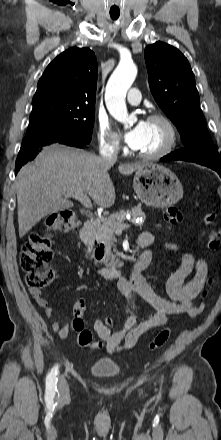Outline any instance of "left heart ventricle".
I'll return each mask as SVG.
<instances>
[{"mask_svg":"<svg viewBox=\"0 0 221 440\" xmlns=\"http://www.w3.org/2000/svg\"><path fill=\"white\" fill-rule=\"evenodd\" d=\"M167 140V131L160 122H147V131L139 151L154 152L159 150Z\"/></svg>","mask_w":221,"mask_h":440,"instance_id":"b2bd125f","label":"left heart ventricle"}]
</instances>
